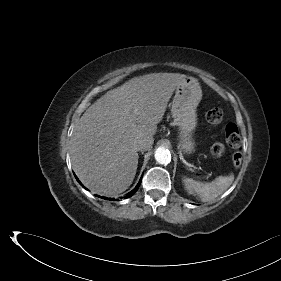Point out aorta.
<instances>
[{
  "label": "aorta",
  "instance_id": "obj_1",
  "mask_svg": "<svg viewBox=\"0 0 281 281\" xmlns=\"http://www.w3.org/2000/svg\"><path fill=\"white\" fill-rule=\"evenodd\" d=\"M155 159L159 164H166L170 162L171 154L168 149L159 147L155 151Z\"/></svg>",
  "mask_w": 281,
  "mask_h": 281
}]
</instances>
